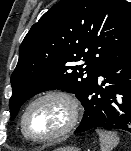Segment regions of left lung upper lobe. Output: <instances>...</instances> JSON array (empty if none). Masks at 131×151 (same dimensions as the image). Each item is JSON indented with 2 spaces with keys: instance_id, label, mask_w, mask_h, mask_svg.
Here are the masks:
<instances>
[{
  "instance_id": "obj_1",
  "label": "left lung upper lobe",
  "mask_w": 131,
  "mask_h": 151,
  "mask_svg": "<svg viewBox=\"0 0 131 151\" xmlns=\"http://www.w3.org/2000/svg\"><path fill=\"white\" fill-rule=\"evenodd\" d=\"M131 42L125 0H61L34 24L19 48L11 75V119L29 98L50 89L75 93L83 104L96 72ZM84 60V65L76 62Z\"/></svg>"
}]
</instances>
